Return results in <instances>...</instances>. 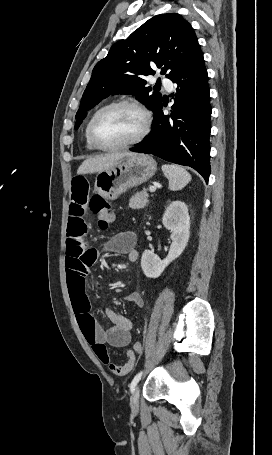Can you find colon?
<instances>
[{"instance_id":"obj_1","label":"colon","mask_w":272,"mask_h":455,"mask_svg":"<svg viewBox=\"0 0 272 455\" xmlns=\"http://www.w3.org/2000/svg\"><path fill=\"white\" fill-rule=\"evenodd\" d=\"M90 210L96 217L97 224L101 230L109 228L113 221V212L110 205L98 195L91 198L89 203ZM134 353L141 354L143 352V344L136 342L133 346Z\"/></svg>"}]
</instances>
